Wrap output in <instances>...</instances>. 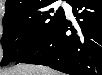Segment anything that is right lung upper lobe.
I'll use <instances>...</instances> for the list:
<instances>
[{"instance_id":"right-lung-upper-lobe-1","label":"right lung upper lobe","mask_w":102,"mask_h":75,"mask_svg":"<svg viewBox=\"0 0 102 75\" xmlns=\"http://www.w3.org/2000/svg\"><path fill=\"white\" fill-rule=\"evenodd\" d=\"M54 0H6L5 15L15 13L20 10L37 8L42 4Z\"/></svg>"}]
</instances>
